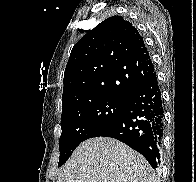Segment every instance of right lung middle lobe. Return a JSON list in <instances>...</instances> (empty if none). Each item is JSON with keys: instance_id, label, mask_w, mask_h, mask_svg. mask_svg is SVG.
Wrapping results in <instances>:
<instances>
[{"instance_id": "right-lung-middle-lobe-1", "label": "right lung middle lobe", "mask_w": 196, "mask_h": 182, "mask_svg": "<svg viewBox=\"0 0 196 182\" xmlns=\"http://www.w3.org/2000/svg\"><path fill=\"white\" fill-rule=\"evenodd\" d=\"M127 104L126 99L100 97L62 112L58 167L68 160L81 142L121 113Z\"/></svg>"}]
</instances>
